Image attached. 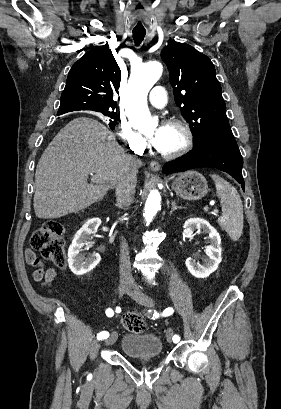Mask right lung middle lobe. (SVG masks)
<instances>
[{
    "label": "right lung middle lobe",
    "mask_w": 281,
    "mask_h": 409,
    "mask_svg": "<svg viewBox=\"0 0 281 409\" xmlns=\"http://www.w3.org/2000/svg\"><path fill=\"white\" fill-rule=\"evenodd\" d=\"M101 113L112 119H117V115L113 111H107V112H101Z\"/></svg>",
    "instance_id": "right-lung-middle-lobe-1"
}]
</instances>
